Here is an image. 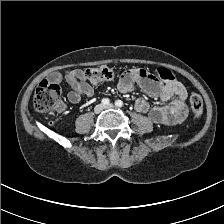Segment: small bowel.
<instances>
[{"label":"small bowel","instance_id":"obj_1","mask_svg":"<svg viewBox=\"0 0 224 224\" xmlns=\"http://www.w3.org/2000/svg\"><path fill=\"white\" fill-rule=\"evenodd\" d=\"M51 82L60 83L64 80L70 90L67 99L71 103H78L82 97H91L93 87L86 81L81 69H72L65 72L53 73ZM139 86L146 94L159 99L165 105H153L144 98H138L135 108L138 112L146 114L156 124L175 125L182 122L187 114L188 91L178 80L161 84L154 76L145 70L132 69L126 71L118 82V89L122 93L131 92Z\"/></svg>","mask_w":224,"mask_h":224}]
</instances>
